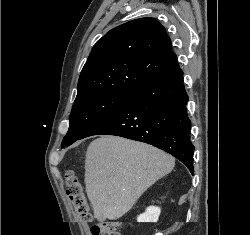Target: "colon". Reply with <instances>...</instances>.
Returning a JSON list of instances; mask_svg holds the SVG:
<instances>
[{
  "mask_svg": "<svg viewBox=\"0 0 250 235\" xmlns=\"http://www.w3.org/2000/svg\"><path fill=\"white\" fill-rule=\"evenodd\" d=\"M66 194L70 199L76 215L86 223L93 222L90 207L84 195L78 176L73 170L65 172ZM92 235H121L120 224L116 221L94 223L91 227Z\"/></svg>",
  "mask_w": 250,
  "mask_h": 235,
  "instance_id": "5ec220e1",
  "label": "colon"
}]
</instances>
